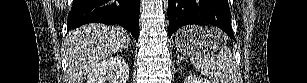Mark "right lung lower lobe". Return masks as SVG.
Segmentation results:
<instances>
[{
	"instance_id": "98d812e1",
	"label": "right lung lower lobe",
	"mask_w": 307,
	"mask_h": 83,
	"mask_svg": "<svg viewBox=\"0 0 307 83\" xmlns=\"http://www.w3.org/2000/svg\"><path fill=\"white\" fill-rule=\"evenodd\" d=\"M140 0H73L67 28L88 23L118 24L138 41Z\"/></svg>"
}]
</instances>
